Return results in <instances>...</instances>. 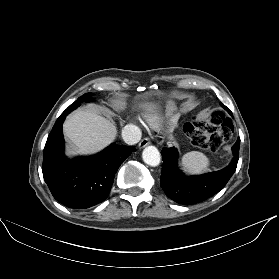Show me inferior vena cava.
Segmentation results:
<instances>
[{"instance_id":"obj_1","label":"inferior vena cava","mask_w":279,"mask_h":279,"mask_svg":"<svg viewBox=\"0 0 279 279\" xmlns=\"http://www.w3.org/2000/svg\"><path fill=\"white\" fill-rule=\"evenodd\" d=\"M140 129L132 124L126 125L122 130V137L126 144L134 145L141 139Z\"/></svg>"}]
</instances>
